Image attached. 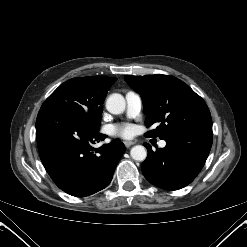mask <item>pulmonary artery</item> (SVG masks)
Instances as JSON below:
<instances>
[{
  "instance_id": "e3ab8cb5",
  "label": "pulmonary artery",
  "mask_w": 247,
  "mask_h": 247,
  "mask_svg": "<svg viewBox=\"0 0 247 247\" xmlns=\"http://www.w3.org/2000/svg\"><path fill=\"white\" fill-rule=\"evenodd\" d=\"M127 110L126 114L129 118H134L139 115L142 109V98L141 96L133 91H129L125 95ZM160 147H165L166 142L164 140L159 142Z\"/></svg>"
}]
</instances>
